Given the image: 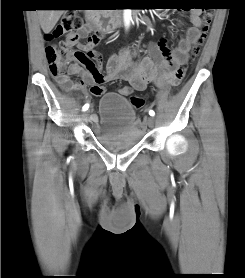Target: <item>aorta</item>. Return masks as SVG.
I'll use <instances>...</instances> for the list:
<instances>
[{
	"label": "aorta",
	"mask_w": 245,
	"mask_h": 278,
	"mask_svg": "<svg viewBox=\"0 0 245 278\" xmlns=\"http://www.w3.org/2000/svg\"><path fill=\"white\" fill-rule=\"evenodd\" d=\"M130 16H131V10L126 9L125 12H124V21H125L126 26H129Z\"/></svg>",
	"instance_id": "762f6f07"
}]
</instances>
